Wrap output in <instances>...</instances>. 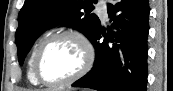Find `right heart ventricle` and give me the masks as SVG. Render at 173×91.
<instances>
[{"label": "right heart ventricle", "instance_id": "1", "mask_svg": "<svg viewBox=\"0 0 173 91\" xmlns=\"http://www.w3.org/2000/svg\"><path fill=\"white\" fill-rule=\"evenodd\" d=\"M45 37H41L33 46L32 51L30 53V57L28 60V79L29 81L34 84L37 85L39 82L36 80L34 73H33V59L36 53L37 48L39 47V45L41 44V42L44 40Z\"/></svg>", "mask_w": 173, "mask_h": 91}]
</instances>
